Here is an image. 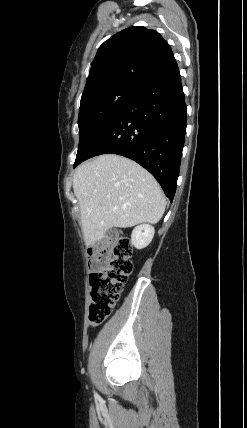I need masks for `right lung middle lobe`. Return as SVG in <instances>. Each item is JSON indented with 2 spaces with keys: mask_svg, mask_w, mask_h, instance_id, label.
Returning a JSON list of instances; mask_svg holds the SVG:
<instances>
[{
  "mask_svg": "<svg viewBox=\"0 0 247 428\" xmlns=\"http://www.w3.org/2000/svg\"><path fill=\"white\" fill-rule=\"evenodd\" d=\"M140 91L128 86H113L82 95L79 108V147L82 156L100 131Z\"/></svg>",
  "mask_w": 247,
  "mask_h": 428,
  "instance_id": "dd1d6c3e",
  "label": "right lung middle lobe"
}]
</instances>
